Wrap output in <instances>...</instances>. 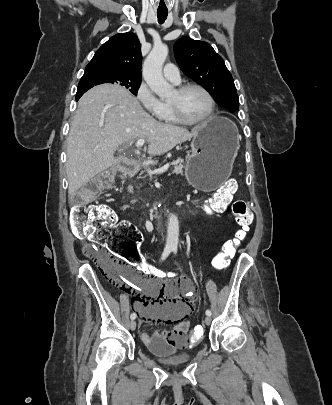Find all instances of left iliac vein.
I'll list each match as a JSON object with an SVG mask.
<instances>
[{
    "label": "left iliac vein",
    "instance_id": "1",
    "mask_svg": "<svg viewBox=\"0 0 332 405\" xmlns=\"http://www.w3.org/2000/svg\"><path fill=\"white\" fill-rule=\"evenodd\" d=\"M211 321H212V319H211V317H210V316L205 317L204 322H205V324H206V325L211 324Z\"/></svg>",
    "mask_w": 332,
    "mask_h": 405
}]
</instances>
